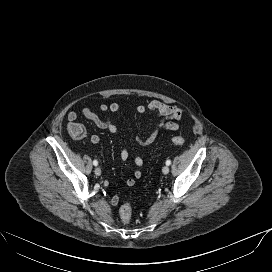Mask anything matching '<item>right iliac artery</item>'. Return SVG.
Segmentation results:
<instances>
[{
    "label": "right iliac artery",
    "instance_id": "1",
    "mask_svg": "<svg viewBox=\"0 0 272 272\" xmlns=\"http://www.w3.org/2000/svg\"><path fill=\"white\" fill-rule=\"evenodd\" d=\"M93 165H94V166H97V165H98V161H97V160H94V161H93Z\"/></svg>",
    "mask_w": 272,
    "mask_h": 272
}]
</instances>
